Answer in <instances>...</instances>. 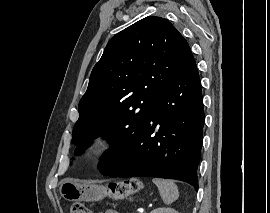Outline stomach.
<instances>
[{
    "label": "stomach",
    "mask_w": 270,
    "mask_h": 213,
    "mask_svg": "<svg viewBox=\"0 0 270 213\" xmlns=\"http://www.w3.org/2000/svg\"><path fill=\"white\" fill-rule=\"evenodd\" d=\"M107 189L104 185L65 179L60 185L59 192L67 201H97L105 197Z\"/></svg>",
    "instance_id": "1"
}]
</instances>
